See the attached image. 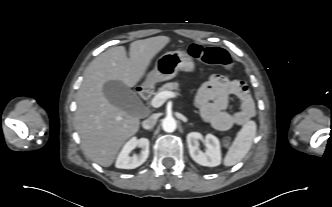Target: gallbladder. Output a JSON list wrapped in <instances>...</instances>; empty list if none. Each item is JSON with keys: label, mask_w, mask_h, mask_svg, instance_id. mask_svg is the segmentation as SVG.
Segmentation results:
<instances>
[{"label": "gallbladder", "mask_w": 332, "mask_h": 207, "mask_svg": "<svg viewBox=\"0 0 332 207\" xmlns=\"http://www.w3.org/2000/svg\"><path fill=\"white\" fill-rule=\"evenodd\" d=\"M103 93L112 105L134 116L142 109L139 97L121 81H107L103 86Z\"/></svg>", "instance_id": "bac80fb5"}]
</instances>
